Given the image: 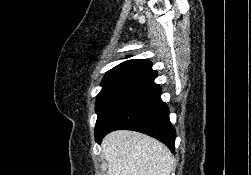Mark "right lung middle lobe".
Returning <instances> with one entry per match:
<instances>
[{
	"instance_id": "obj_1",
	"label": "right lung middle lobe",
	"mask_w": 251,
	"mask_h": 175,
	"mask_svg": "<svg viewBox=\"0 0 251 175\" xmlns=\"http://www.w3.org/2000/svg\"><path fill=\"white\" fill-rule=\"evenodd\" d=\"M136 82L137 80L131 77H114L102 80V90L97 96L95 105L97 113L95 130L98 129V126L109 106L119 97V95Z\"/></svg>"
}]
</instances>
